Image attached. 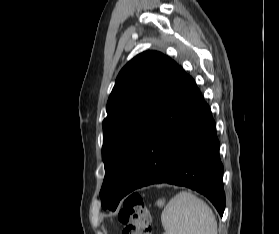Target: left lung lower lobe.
<instances>
[{"label": "left lung lower lobe", "instance_id": "left-lung-lower-lobe-1", "mask_svg": "<svg viewBox=\"0 0 279 234\" xmlns=\"http://www.w3.org/2000/svg\"><path fill=\"white\" fill-rule=\"evenodd\" d=\"M223 165L211 110L192 77L179 66L147 128L121 198L154 183L205 195L222 216Z\"/></svg>", "mask_w": 279, "mask_h": 234}]
</instances>
